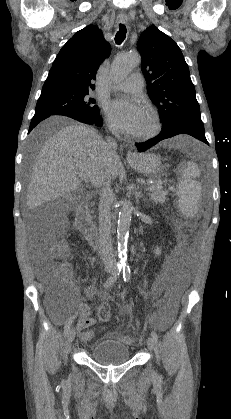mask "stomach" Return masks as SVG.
Returning a JSON list of instances; mask_svg holds the SVG:
<instances>
[{
  "label": "stomach",
  "mask_w": 231,
  "mask_h": 419,
  "mask_svg": "<svg viewBox=\"0 0 231 419\" xmlns=\"http://www.w3.org/2000/svg\"><path fill=\"white\" fill-rule=\"evenodd\" d=\"M129 165L137 172L152 179L160 178L161 159L151 152L136 154L133 159H128Z\"/></svg>",
  "instance_id": "stomach-1"
}]
</instances>
